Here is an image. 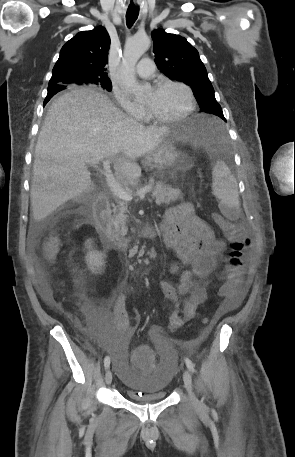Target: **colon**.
Returning a JSON list of instances; mask_svg holds the SVG:
<instances>
[{"mask_svg":"<svg viewBox=\"0 0 295 457\" xmlns=\"http://www.w3.org/2000/svg\"><path fill=\"white\" fill-rule=\"evenodd\" d=\"M215 219L230 245V251L222 273V277L226 280V283L221 290V294L227 299H232L241 285L245 256L251 242L245 235L244 227L241 223L230 222L220 215H216ZM58 247L59 240L57 237H51L46 242L45 254L49 260L55 258ZM153 353V346H133L131 352V372H155V358L153 357Z\"/></svg>","mask_w":295,"mask_h":457,"instance_id":"colon-1","label":"colon"}]
</instances>
